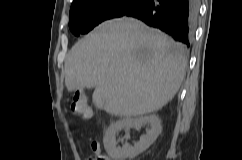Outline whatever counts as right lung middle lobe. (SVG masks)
<instances>
[{"mask_svg": "<svg viewBox=\"0 0 242 160\" xmlns=\"http://www.w3.org/2000/svg\"><path fill=\"white\" fill-rule=\"evenodd\" d=\"M144 0H82L70 8L69 27L79 36L104 20L123 16Z\"/></svg>", "mask_w": 242, "mask_h": 160, "instance_id": "right-lung-middle-lobe-1", "label": "right lung middle lobe"}]
</instances>
